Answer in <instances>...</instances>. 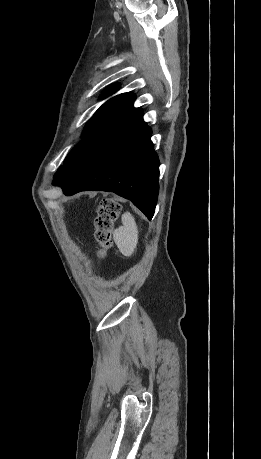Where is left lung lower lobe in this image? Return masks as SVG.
<instances>
[{
  "instance_id": "left-lung-lower-lobe-1",
  "label": "left lung lower lobe",
  "mask_w": 261,
  "mask_h": 459,
  "mask_svg": "<svg viewBox=\"0 0 261 459\" xmlns=\"http://www.w3.org/2000/svg\"><path fill=\"white\" fill-rule=\"evenodd\" d=\"M138 110L89 160L59 186L63 193L111 191L129 199L149 220L158 198L159 159L151 129Z\"/></svg>"
}]
</instances>
